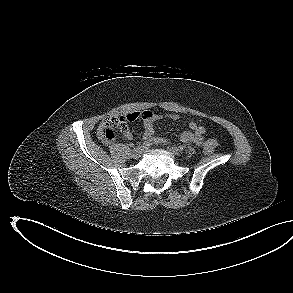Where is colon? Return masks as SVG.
Segmentation results:
<instances>
[{
  "label": "colon",
  "mask_w": 293,
  "mask_h": 293,
  "mask_svg": "<svg viewBox=\"0 0 293 293\" xmlns=\"http://www.w3.org/2000/svg\"><path fill=\"white\" fill-rule=\"evenodd\" d=\"M128 129V120L125 117L120 118H108L102 123V127L98 130V137L102 142H110L117 131L124 132ZM214 148L207 146L204 151L207 154L212 153Z\"/></svg>",
  "instance_id": "5ec220e1"
}]
</instances>
